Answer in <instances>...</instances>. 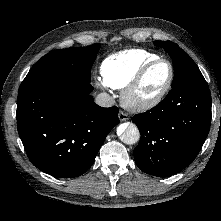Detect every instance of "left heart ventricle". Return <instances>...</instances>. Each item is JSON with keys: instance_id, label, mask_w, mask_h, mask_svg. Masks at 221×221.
Masks as SVG:
<instances>
[{"instance_id": "1", "label": "left heart ventricle", "mask_w": 221, "mask_h": 221, "mask_svg": "<svg viewBox=\"0 0 221 221\" xmlns=\"http://www.w3.org/2000/svg\"><path fill=\"white\" fill-rule=\"evenodd\" d=\"M169 67L166 63H158L146 75L137 92L138 97L148 98L155 95L166 83Z\"/></svg>"}]
</instances>
